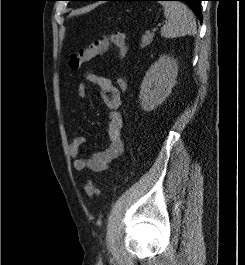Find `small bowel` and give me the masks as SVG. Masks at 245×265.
I'll use <instances>...</instances> for the list:
<instances>
[{
	"mask_svg": "<svg viewBox=\"0 0 245 265\" xmlns=\"http://www.w3.org/2000/svg\"><path fill=\"white\" fill-rule=\"evenodd\" d=\"M85 80L100 89L102 100L110 110L107 127L109 142L105 150L96 152L90 158L84 159L80 156V150L86 139L83 136H75L69 144V154L73 159L75 171L82 172L88 169L93 172H103L108 169L112 161L122 154L124 149L123 119L119 112L121 94L119 88L107 76L89 71L85 74ZM77 94L80 98L87 97L85 84L78 85Z\"/></svg>",
	"mask_w": 245,
	"mask_h": 265,
	"instance_id": "c3829d8e",
	"label": "small bowel"
}]
</instances>
